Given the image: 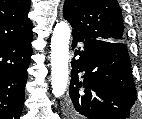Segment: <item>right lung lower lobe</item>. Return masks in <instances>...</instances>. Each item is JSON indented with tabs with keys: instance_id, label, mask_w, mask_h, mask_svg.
<instances>
[{
	"instance_id": "1",
	"label": "right lung lower lobe",
	"mask_w": 142,
	"mask_h": 119,
	"mask_svg": "<svg viewBox=\"0 0 142 119\" xmlns=\"http://www.w3.org/2000/svg\"><path fill=\"white\" fill-rule=\"evenodd\" d=\"M31 41L32 34L0 46V119H20L32 54Z\"/></svg>"
}]
</instances>
